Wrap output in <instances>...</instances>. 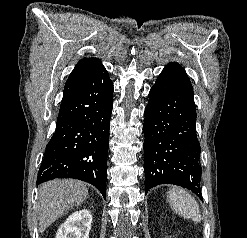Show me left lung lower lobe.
I'll use <instances>...</instances> for the list:
<instances>
[{
	"mask_svg": "<svg viewBox=\"0 0 247 238\" xmlns=\"http://www.w3.org/2000/svg\"><path fill=\"white\" fill-rule=\"evenodd\" d=\"M144 115L145 191L175 184L201 197V147L193 87L178 63L167 64L158 76Z\"/></svg>",
	"mask_w": 247,
	"mask_h": 238,
	"instance_id": "1",
	"label": "left lung lower lobe"
}]
</instances>
